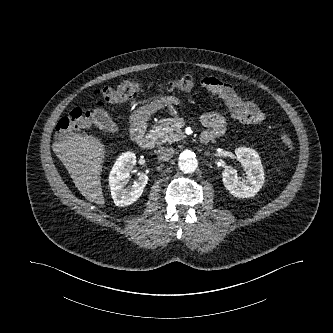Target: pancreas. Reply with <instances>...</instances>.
<instances>
[{"label":"pancreas","instance_id":"pancreas-1","mask_svg":"<svg viewBox=\"0 0 333 333\" xmlns=\"http://www.w3.org/2000/svg\"><path fill=\"white\" fill-rule=\"evenodd\" d=\"M156 139L162 143L172 144L173 142L182 140L185 135L180 128H177L174 124L169 121L163 122L161 125L154 127L152 130Z\"/></svg>","mask_w":333,"mask_h":333}]
</instances>
